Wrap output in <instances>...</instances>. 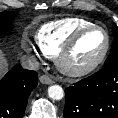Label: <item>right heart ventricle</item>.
Listing matches in <instances>:
<instances>
[{"label":"right heart ventricle","mask_w":118,"mask_h":118,"mask_svg":"<svg viewBox=\"0 0 118 118\" xmlns=\"http://www.w3.org/2000/svg\"><path fill=\"white\" fill-rule=\"evenodd\" d=\"M93 24L92 21L81 17L55 20L41 26L35 40L44 56L54 58L76 31Z\"/></svg>","instance_id":"e07e8e85"}]
</instances>
